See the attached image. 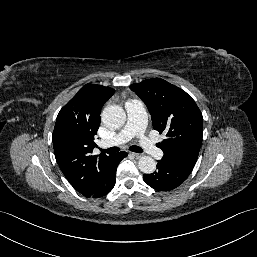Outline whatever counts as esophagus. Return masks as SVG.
Here are the masks:
<instances>
[{"instance_id":"obj_1","label":"esophagus","mask_w":257,"mask_h":257,"mask_svg":"<svg viewBox=\"0 0 257 257\" xmlns=\"http://www.w3.org/2000/svg\"><path fill=\"white\" fill-rule=\"evenodd\" d=\"M135 159H138V158H140L142 155L141 154H139V153H134V152H131L130 153Z\"/></svg>"}]
</instances>
